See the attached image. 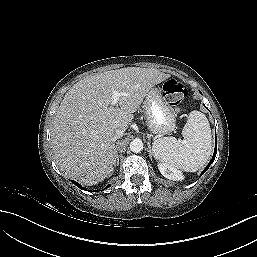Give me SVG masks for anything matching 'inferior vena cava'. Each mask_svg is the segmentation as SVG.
<instances>
[{
  "instance_id": "602c4592",
  "label": "inferior vena cava",
  "mask_w": 257,
  "mask_h": 257,
  "mask_svg": "<svg viewBox=\"0 0 257 257\" xmlns=\"http://www.w3.org/2000/svg\"><path fill=\"white\" fill-rule=\"evenodd\" d=\"M124 130L122 129H117L115 131V133L112 136V141L115 142L117 139H119L120 137H122L124 135Z\"/></svg>"
}]
</instances>
